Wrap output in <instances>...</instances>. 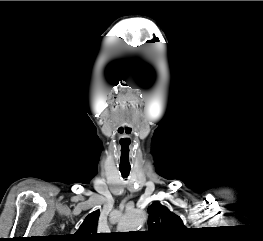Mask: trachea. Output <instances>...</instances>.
Listing matches in <instances>:
<instances>
[{"mask_svg": "<svg viewBox=\"0 0 263 241\" xmlns=\"http://www.w3.org/2000/svg\"><path fill=\"white\" fill-rule=\"evenodd\" d=\"M120 172L123 178H127L129 173H130V169H121L120 168Z\"/></svg>", "mask_w": 263, "mask_h": 241, "instance_id": "obj_1", "label": "trachea"}]
</instances>
